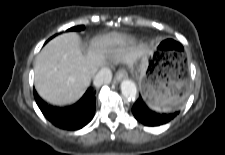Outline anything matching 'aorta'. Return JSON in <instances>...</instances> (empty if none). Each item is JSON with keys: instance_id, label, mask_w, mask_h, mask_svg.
<instances>
[{"instance_id": "1", "label": "aorta", "mask_w": 225, "mask_h": 155, "mask_svg": "<svg viewBox=\"0 0 225 155\" xmlns=\"http://www.w3.org/2000/svg\"><path fill=\"white\" fill-rule=\"evenodd\" d=\"M121 92L127 99L133 100L137 95V87L131 80H123L121 82Z\"/></svg>"}]
</instances>
